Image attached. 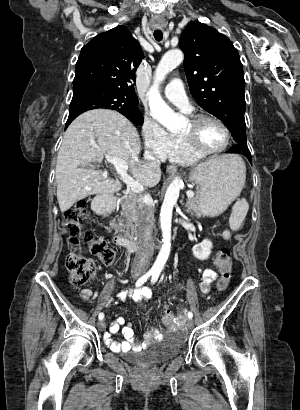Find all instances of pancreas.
<instances>
[{"instance_id": "pancreas-1", "label": "pancreas", "mask_w": 300, "mask_h": 410, "mask_svg": "<svg viewBox=\"0 0 300 410\" xmlns=\"http://www.w3.org/2000/svg\"><path fill=\"white\" fill-rule=\"evenodd\" d=\"M137 196L135 194H129L123 197L120 201L121 216L118 219V224L115 225L117 232L123 233L125 236L130 235V230L134 229L138 225L139 210L137 208ZM188 212L195 213L198 217L201 216L200 209L198 207L197 200L191 198L188 200Z\"/></svg>"}]
</instances>
